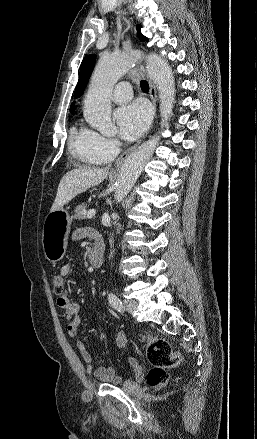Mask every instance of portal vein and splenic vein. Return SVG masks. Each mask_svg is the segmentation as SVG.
I'll return each instance as SVG.
<instances>
[{
    "instance_id": "obj_1",
    "label": "portal vein and splenic vein",
    "mask_w": 257,
    "mask_h": 439,
    "mask_svg": "<svg viewBox=\"0 0 257 439\" xmlns=\"http://www.w3.org/2000/svg\"><path fill=\"white\" fill-rule=\"evenodd\" d=\"M94 215H95V209H90V210L87 212V217H88V218H92Z\"/></svg>"
}]
</instances>
